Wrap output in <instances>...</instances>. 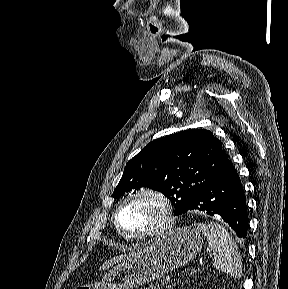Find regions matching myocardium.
I'll list each match as a JSON object with an SVG mask.
<instances>
[{
	"instance_id": "1",
	"label": "myocardium",
	"mask_w": 288,
	"mask_h": 289,
	"mask_svg": "<svg viewBox=\"0 0 288 289\" xmlns=\"http://www.w3.org/2000/svg\"><path fill=\"white\" fill-rule=\"evenodd\" d=\"M140 196H150L157 199L163 208V218L161 223L153 230L141 233L128 232L122 226L121 212L128 203ZM174 220V207L170 199L161 191L151 188H142L127 196L118 206L114 215V222L117 230L120 232L121 235L131 240L152 239L160 237L173 228Z\"/></svg>"
}]
</instances>
